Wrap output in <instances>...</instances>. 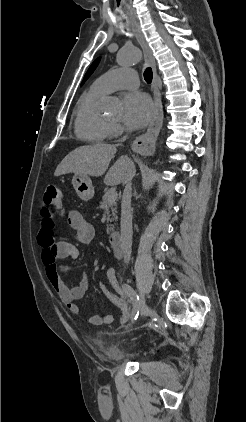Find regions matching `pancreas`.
I'll return each mask as SVG.
<instances>
[{
  "label": "pancreas",
  "mask_w": 246,
  "mask_h": 422,
  "mask_svg": "<svg viewBox=\"0 0 246 422\" xmlns=\"http://www.w3.org/2000/svg\"><path fill=\"white\" fill-rule=\"evenodd\" d=\"M99 209H103L107 213V233L113 231L114 226L111 224V222L117 220V203L109 202L108 201V194L106 193L102 197V201L100 202V205L98 207Z\"/></svg>",
  "instance_id": "obj_1"
}]
</instances>
